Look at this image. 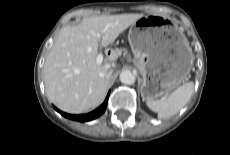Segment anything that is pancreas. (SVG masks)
I'll use <instances>...</instances> for the list:
<instances>
[{
  "instance_id": "cf45deb5",
  "label": "pancreas",
  "mask_w": 230,
  "mask_h": 155,
  "mask_svg": "<svg viewBox=\"0 0 230 155\" xmlns=\"http://www.w3.org/2000/svg\"><path fill=\"white\" fill-rule=\"evenodd\" d=\"M112 58H113V59L117 58V55L113 56Z\"/></svg>"
}]
</instances>
